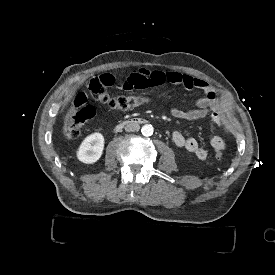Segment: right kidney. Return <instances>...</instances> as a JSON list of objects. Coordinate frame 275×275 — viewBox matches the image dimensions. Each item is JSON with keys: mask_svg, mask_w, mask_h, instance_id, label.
Wrapping results in <instances>:
<instances>
[{"mask_svg": "<svg viewBox=\"0 0 275 275\" xmlns=\"http://www.w3.org/2000/svg\"><path fill=\"white\" fill-rule=\"evenodd\" d=\"M105 139L99 132L88 135L80 144L76 157L84 164H94L102 156Z\"/></svg>", "mask_w": 275, "mask_h": 275, "instance_id": "ca27d5eb", "label": "right kidney"}]
</instances>
